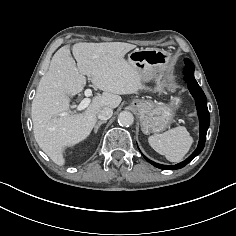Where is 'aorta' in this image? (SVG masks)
<instances>
[{"mask_svg":"<svg viewBox=\"0 0 236 236\" xmlns=\"http://www.w3.org/2000/svg\"><path fill=\"white\" fill-rule=\"evenodd\" d=\"M133 122H134L133 114L129 111H122L118 115V123L121 126H130L133 124Z\"/></svg>","mask_w":236,"mask_h":236,"instance_id":"762f6f07","label":"aorta"}]
</instances>
